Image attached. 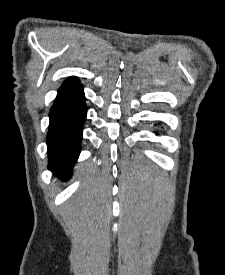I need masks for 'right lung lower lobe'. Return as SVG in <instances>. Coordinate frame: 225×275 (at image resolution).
<instances>
[{
	"mask_svg": "<svg viewBox=\"0 0 225 275\" xmlns=\"http://www.w3.org/2000/svg\"><path fill=\"white\" fill-rule=\"evenodd\" d=\"M86 115L85 96L79 80L63 83L51 107L47 134L48 167L62 181L71 177L80 153Z\"/></svg>",
	"mask_w": 225,
	"mask_h": 275,
	"instance_id": "obj_1",
	"label": "right lung lower lobe"
}]
</instances>
